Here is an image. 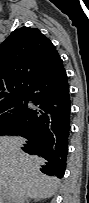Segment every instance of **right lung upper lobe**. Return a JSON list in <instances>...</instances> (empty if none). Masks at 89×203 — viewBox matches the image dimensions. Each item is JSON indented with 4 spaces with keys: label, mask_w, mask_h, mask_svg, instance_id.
<instances>
[{
    "label": "right lung upper lobe",
    "mask_w": 89,
    "mask_h": 203,
    "mask_svg": "<svg viewBox=\"0 0 89 203\" xmlns=\"http://www.w3.org/2000/svg\"><path fill=\"white\" fill-rule=\"evenodd\" d=\"M62 64L55 46L40 30L13 31L0 44V105L27 96L41 77Z\"/></svg>",
    "instance_id": "1"
}]
</instances>
